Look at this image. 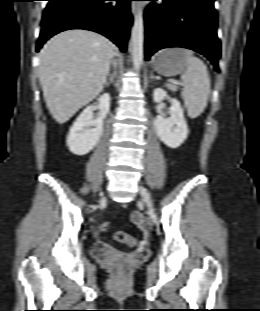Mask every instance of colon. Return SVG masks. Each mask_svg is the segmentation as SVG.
I'll list each match as a JSON object with an SVG mask.
<instances>
[{"mask_svg":"<svg viewBox=\"0 0 260 311\" xmlns=\"http://www.w3.org/2000/svg\"><path fill=\"white\" fill-rule=\"evenodd\" d=\"M109 226H110V224L108 222H104L101 225V230L102 231H107ZM114 239L117 242L127 244L129 247H134L136 245V243H137V240L133 236H131V235H129L126 232H123V231L116 232L114 234Z\"/></svg>","mask_w":260,"mask_h":311,"instance_id":"5ec220e1","label":"colon"}]
</instances>
